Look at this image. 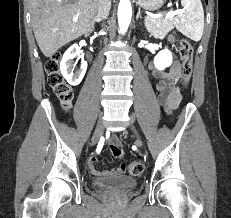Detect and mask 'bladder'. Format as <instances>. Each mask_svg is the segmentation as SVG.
<instances>
[{
	"label": "bladder",
	"mask_w": 231,
	"mask_h": 218,
	"mask_svg": "<svg viewBox=\"0 0 231 218\" xmlns=\"http://www.w3.org/2000/svg\"><path fill=\"white\" fill-rule=\"evenodd\" d=\"M92 185L101 191L128 192L137 187L138 181L130 176L104 177L94 179Z\"/></svg>",
	"instance_id": "obj_1"
}]
</instances>
